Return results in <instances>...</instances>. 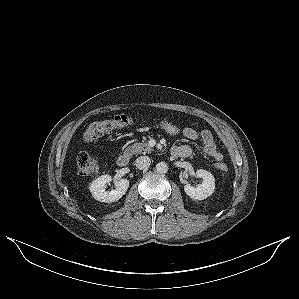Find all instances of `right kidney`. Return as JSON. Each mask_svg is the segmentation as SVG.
Segmentation results:
<instances>
[{"label":"right kidney","mask_w":299,"mask_h":299,"mask_svg":"<svg viewBox=\"0 0 299 299\" xmlns=\"http://www.w3.org/2000/svg\"><path fill=\"white\" fill-rule=\"evenodd\" d=\"M112 178L110 175H102L95 179L90 184V192L92 196L100 201L111 203L118 201L127 191L129 187V180L127 179H118L115 181L116 188L109 191H106V184L111 182Z\"/></svg>","instance_id":"obj_1"}]
</instances>
